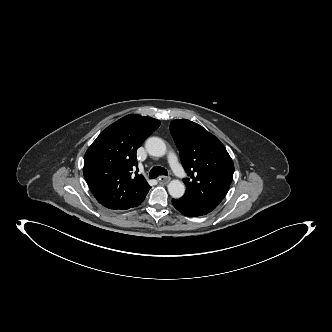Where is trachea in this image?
<instances>
[{
  "mask_svg": "<svg viewBox=\"0 0 332 332\" xmlns=\"http://www.w3.org/2000/svg\"><path fill=\"white\" fill-rule=\"evenodd\" d=\"M159 175H165L167 176L168 175V172L165 168L163 167H159V166H155L153 167L151 170H150V173H149V178L150 179H155L157 178Z\"/></svg>",
  "mask_w": 332,
  "mask_h": 332,
  "instance_id": "1",
  "label": "trachea"
}]
</instances>
